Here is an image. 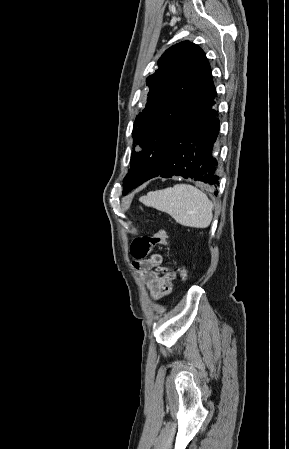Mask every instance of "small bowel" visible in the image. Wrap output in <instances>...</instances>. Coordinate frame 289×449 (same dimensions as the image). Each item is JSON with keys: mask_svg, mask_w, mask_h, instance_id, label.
Instances as JSON below:
<instances>
[{"mask_svg": "<svg viewBox=\"0 0 289 449\" xmlns=\"http://www.w3.org/2000/svg\"><path fill=\"white\" fill-rule=\"evenodd\" d=\"M162 257L153 254L143 259H134V268L144 278L153 299L157 300L171 293L176 274L162 266Z\"/></svg>", "mask_w": 289, "mask_h": 449, "instance_id": "c3829d8e", "label": "small bowel"}]
</instances>
